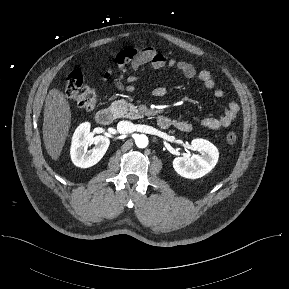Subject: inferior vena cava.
Instances as JSON below:
<instances>
[{
	"label": "inferior vena cava",
	"instance_id": "602c4592",
	"mask_svg": "<svg viewBox=\"0 0 289 289\" xmlns=\"http://www.w3.org/2000/svg\"><path fill=\"white\" fill-rule=\"evenodd\" d=\"M117 130L120 134H128L134 131V124L129 121H120L117 124Z\"/></svg>",
	"mask_w": 289,
	"mask_h": 289
}]
</instances>
